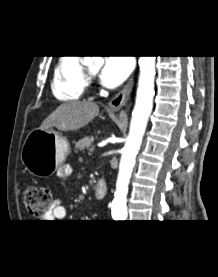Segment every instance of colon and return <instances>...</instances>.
I'll use <instances>...</instances> for the list:
<instances>
[{
  "label": "colon",
  "mask_w": 218,
  "mask_h": 277,
  "mask_svg": "<svg viewBox=\"0 0 218 277\" xmlns=\"http://www.w3.org/2000/svg\"><path fill=\"white\" fill-rule=\"evenodd\" d=\"M24 203L29 214L43 216L52 203V191L45 186L33 185L25 189Z\"/></svg>",
  "instance_id": "obj_1"
}]
</instances>
